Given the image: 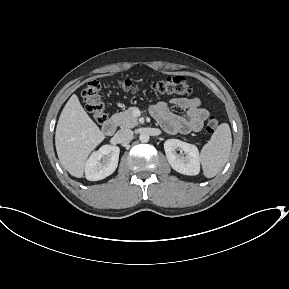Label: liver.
Returning a JSON list of instances; mask_svg holds the SVG:
<instances>
[{
    "label": "liver",
    "mask_w": 289,
    "mask_h": 289,
    "mask_svg": "<svg viewBox=\"0 0 289 289\" xmlns=\"http://www.w3.org/2000/svg\"><path fill=\"white\" fill-rule=\"evenodd\" d=\"M105 138L73 94L59 117L55 145L62 166L74 177H83L88 155Z\"/></svg>",
    "instance_id": "liver-1"
}]
</instances>
